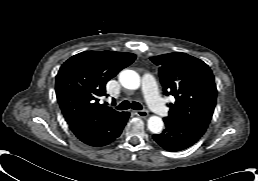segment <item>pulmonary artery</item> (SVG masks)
I'll return each instance as SVG.
<instances>
[{
  "label": "pulmonary artery",
  "instance_id": "pulmonary-artery-1",
  "mask_svg": "<svg viewBox=\"0 0 258 181\" xmlns=\"http://www.w3.org/2000/svg\"><path fill=\"white\" fill-rule=\"evenodd\" d=\"M142 89L151 110L158 116H165L167 108L158 94L155 80L151 75H145L143 77Z\"/></svg>",
  "mask_w": 258,
  "mask_h": 181
}]
</instances>
